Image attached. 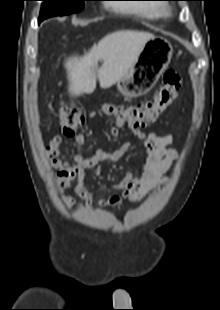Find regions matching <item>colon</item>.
Returning <instances> with one entry per match:
<instances>
[{"mask_svg": "<svg viewBox=\"0 0 220 310\" xmlns=\"http://www.w3.org/2000/svg\"><path fill=\"white\" fill-rule=\"evenodd\" d=\"M181 87V77L174 70L164 73L162 83L155 96L136 105H105V112L114 117L119 126L140 130L153 123L175 101ZM60 123L66 135H74L84 125L85 116L75 107L64 104L60 112Z\"/></svg>", "mask_w": 220, "mask_h": 310, "instance_id": "5ec220e1", "label": "colon"}]
</instances>
